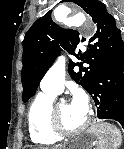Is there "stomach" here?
I'll return each instance as SVG.
<instances>
[{"label": "stomach", "mask_w": 124, "mask_h": 149, "mask_svg": "<svg viewBox=\"0 0 124 149\" xmlns=\"http://www.w3.org/2000/svg\"><path fill=\"white\" fill-rule=\"evenodd\" d=\"M99 125L92 127L85 133L76 137L71 147L67 149H92L93 145L98 141L95 129ZM118 138H121V136Z\"/></svg>", "instance_id": "stomach-1"}]
</instances>
